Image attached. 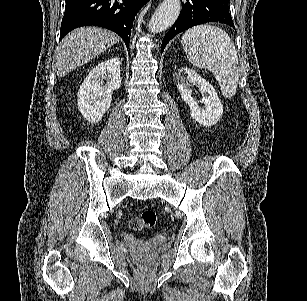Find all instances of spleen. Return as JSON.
<instances>
[{
	"mask_svg": "<svg viewBox=\"0 0 307 301\" xmlns=\"http://www.w3.org/2000/svg\"><path fill=\"white\" fill-rule=\"evenodd\" d=\"M181 42L193 66L211 70L223 96L232 98L238 86L239 60L226 30L212 24H197L185 30Z\"/></svg>",
	"mask_w": 307,
	"mask_h": 301,
	"instance_id": "3e777b00",
	"label": "spleen"
}]
</instances>
